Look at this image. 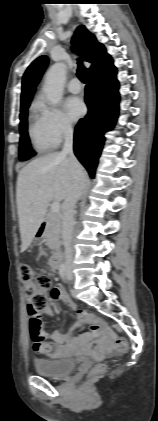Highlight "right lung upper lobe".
Returning a JSON list of instances; mask_svg holds the SVG:
<instances>
[{
	"label": "right lung upper lobe",
	"mask_w": 158,
	"mask_h": 421,
	"mask_svg": "<svg viewBox=\"0 0 158 421\" xmlns=\"http://www.w3.org/2000/svg\"><path fill=\"white\" fill-rule=\"evenodd\" d=\"M72 44L74 51L78 50L86 61L92 63L89 74L100 69L111 59L110 55L106 53L105 47L83 25L76 29ZM47 64L48 58L40 56L27 68L22 79L21 105L30 103L32 100L35 87Z\"/></svg>",
	"instance_id": "right-lung-upper-lobe-1"
}]
</instances>
